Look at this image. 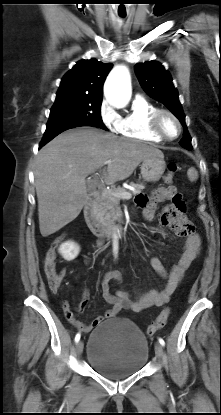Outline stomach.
Returning <instances> with one entry per match:
<instances>
[{"instance_id":"obj_1","label":"stomach","mask_w":221,"mask_h":415,"mask_svg":"<svg viewBox=\"0 0 221 415\" xmlns=\"http://www.w3.org/2000/svg\"><path fill=\"white\" fill-rule=\"evenodd\" d=\"M165 167L164 156L153 155L142 161L140 166L141 175L147 182H157L162 177Z\"/></svg>"}]
</instances>
